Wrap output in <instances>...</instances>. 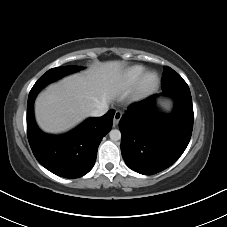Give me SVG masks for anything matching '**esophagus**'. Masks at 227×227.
<instances>
[{"label":"esophagus","mask_w":227,"mask_h":227,"mask_svg":"<svg viewBox=\"0 0 227 227\" xmlns=\"http://www.w3.org/2000/svg\"><path fill=\"white\" fill-rule=\"evenodd\" d=\"M121 117H122V112L121 111H116L115 114H114V119H113V125L114 126L118 125Z\"/></svg>","instance_id":"esophagus-1"}]
</instances>
